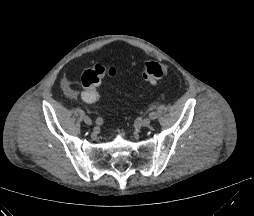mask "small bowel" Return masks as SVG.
I'll list each match as a JSON object with an SVG mask.
<instances>
[{"label": "small bowel", "mask_w": 254, "mask_h": 216, "mask_svg": "<svg viewBox=\"0 0 254 216\" xmlns=\"http://www.w3.org/2000/svg\"><path fill=\"white\" fill-rule=\"evenodd\" d=\"M61 87L64 91V93L66 94L67 97L71 98V99H77L79 97V92L77 89H75L73 87V85L68 82V81H62L61 82ZM82 98H83V94H82ZM84 99V98H83ZM85 100V99H84ZM86 101V100H85ZM88 102V101H87Z\"/></svg>", "instance_id": "1"}]
</instances>
